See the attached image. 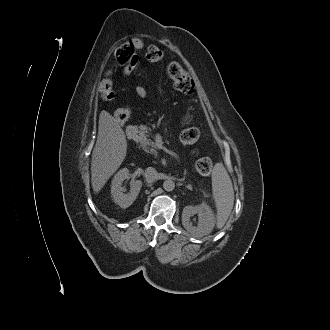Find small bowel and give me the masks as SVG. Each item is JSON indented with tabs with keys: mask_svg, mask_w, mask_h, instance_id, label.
Segmentation results:
<instances>
[{
	"mask_svg": "<svg viewBox=\"0 0 330 330\" xmlns=\"http://www.w3.org/2000/svg\"><path fill=\"white\" fill-rule=\"evenodd\" d=\"M131 44L136 49H139L143 46V43L139 38L132 39ZM136 67H137V58L135 57L129 63L121 65L122 74L125 75V76L130 75L136 69ZM135 93L138 97H140L142 99L146 98L147 95H148V91L144 86H137L135 88ZM118 110L120 111V115L122 117H127L128 116V119H129L130 111H129L128 108H121V109H118ZM128 119H126L125 121H127ZM125 121H121V122H125Z\"/></svg>",
	"mask_w": 330,
	"mask_h": 330,
	"instance_id": "1",
	"label": "small bowel"
}]
</instances>
